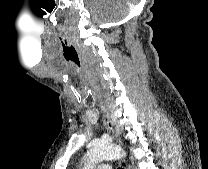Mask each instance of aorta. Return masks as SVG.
<instances>
[{"label":"aorta","instance_id":"762f6f07","mask_svg":"<svg viewBox=\"0 0 208 169\" xmlns=\"http://www.w3.org/2000/svg\"><path fill=\"white\" fill-rule=\"evenodd\" d=\"M120 156L121 148L119 146L112 143L99 142L87 151L83 169H93L101 161L118 159Z\"/></svg>","mask_w":208,"mask_h":169}]
</instances>
